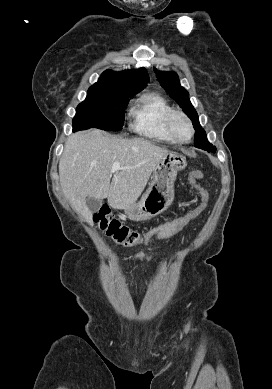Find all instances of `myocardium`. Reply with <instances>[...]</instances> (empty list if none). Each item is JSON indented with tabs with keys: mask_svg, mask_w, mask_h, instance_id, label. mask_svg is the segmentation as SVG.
I'll return each instance as SVG.
<instances>
[{
	"mask_svg": "<svg viewBox=\"0 0 272 389\" xmlns=\"http://www.w3.org/2000/svg\"><path fill=\"white\" fill-rule=\"evenodd\" d=\"M176 118H182L186 121V123L190 129V136L187 139H182L176 134V132L174 130V126H173ZM166 128H167L169 134L171 135V137L178 143H188L189 141H191V139L193 138L194 133H195L191 119L189 118V116L185 112H183L181 110H172L168 114V116L166 118Z\"/></svg>",
	"mask_w": 272,
	"mask_h": 389,
	"instance_id": "f54148a6",
	"label": "myocardium"
}]
</instances>
